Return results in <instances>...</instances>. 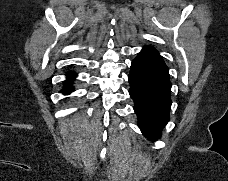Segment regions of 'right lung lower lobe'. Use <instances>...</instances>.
<instances>
[{"label":"right lung lower lobe","mask_w":228,"mask_h":181,"mask_svg":"<svg viewBox=\"0 0 228 181\" xmlns=\"http://www.w3.org/2000/svg\"><path fill=\"white\" fill-rule=\"evenodd\" d=\"M75 76L76 75L74 72H68L67 73V80L65 81V86L62 90V93L70 94L72 91H74L72 88V81L74 80Z\"/></svg>","instance_id":"right-lung-lower-lobe-1"}]
</instances>
